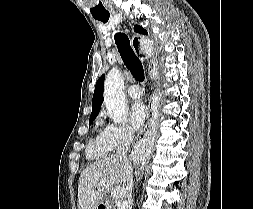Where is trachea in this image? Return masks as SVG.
<instances>
[{
  "mask_svg": "<svg viewBox=\"0 0 253 209\" xmlns=\"http://www.w3.org/2000/svg\"><path fill=\"white\" fill-rule=\"evenodd\" d=\"M95 19L106 23L109 20V15L96 17ZM115 42L124 64L130 70L133 77L140 82L144 81L143 65L130 46L129 38L124 33H116Z\"/></svg>",
  "mask_w": 253,
  "mask_h": 209,
  "instance_id": "trachea-1",
  "label": "trachea"
}]
</instances>
